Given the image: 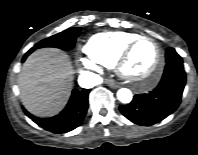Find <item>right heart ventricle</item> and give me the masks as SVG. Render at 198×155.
<instances>
[{
  "label": "right heart ventricle",
  "mask_w": 198,
  "mask_h": 155,
  "mask_svg": "<svg viewBox=\"0 0 198 155\" xmlns=\"http://www.w3.org/2000/svg\"><path fill=\"white\" fill-rule=\"evenodd\" d=\"M138 36L137 33L125 31L98 33L87 40L83 50L91 59L110 68L115 65L126 44Z\"/></svg>",
  "instance_id": "e07e8e85"
}]
</instances>
